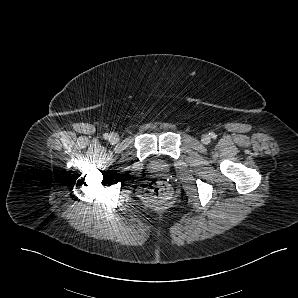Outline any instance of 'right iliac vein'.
Returning a JSON list of instances; mask_svg holds the SVG:
<instances>
[{
  "instance_id": "1",
  "label": "right iliac vein",
  "mask_w": 298,
  "mask_h": 298,
  "mask_svg": "<svg viewBox=\"0 0 298 298\" xmlns=\"http://www.w3.org/2000/svg\"><path fill=\"white\" fill-rule=\"evenodd\" d=\"M108 139L110 143L116 144L119 141V136L115 133H112L109 135Z\"/></svg>"
}]
</instances>
